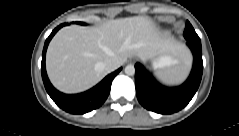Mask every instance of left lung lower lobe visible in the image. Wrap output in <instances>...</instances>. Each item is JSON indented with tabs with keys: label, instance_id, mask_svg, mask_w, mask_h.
<instances>
[{
	"label": "left lung lower lobe",
	"instance_id": "obj_1",
	"mask_svg": "<svg viewBox=\"0 0 239 136\" xmlns=\"http://www.w3.org/2000/svg\"><path fill=\"white\" fill-rule=\"evenodd\" d=\"M193 53V68L187 81L174 88L164 87L140 64H135L137 99L146 109L171 114L184 108L196 93L202 78L203 60L201 42L187 41Z\"/></svg>",
	"mask_w": 239,
	"mask_h": 136
}]
</instances>
